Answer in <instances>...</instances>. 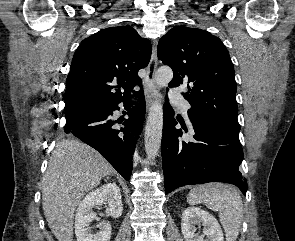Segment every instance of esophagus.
I'll return each instance as SVG.
<instances>
[{
	"label": "esophagus",
	"mask_w": 295,
	"mask_h": 241,
	"mask_svg": "<svg viewBox=\"0 0 295 241\" xmlns=\"http://www.w3.org/2000/svg\"><path fill=\"white\" fill-rule=\"evenodd\" d=\"M158 65V58H157V47L156 43H154L152 48V55L150 62L147 67V74L144 80L145 86V99L147 102V107H149L156 98V83H155V75Z\"/></svg>",
	"instance_id": "1"
}]
</instances>
